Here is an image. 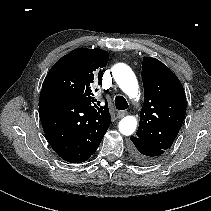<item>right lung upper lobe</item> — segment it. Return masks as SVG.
Listing matches in <instances>:
<instances>
[{
	"label": "right lung upper lobe",
	"instance_id": "1",
	"mask_svg": "<svg viewBox=\"0 0 211 211\" xmlns=\"http://www.w3.org/2000/svg\"><path fill=\"white\" fill-rule=\"evenodd\" d=\"M108 59V52L98 48L75 49L49 70L42 89L68 95L78 101L87 113L110 122L107 104L98 108L92 93L95 83L102 84L101 70L107 65Z\"/></svg>",
	"mask_w": 211,
	"mask_h": 211
}]
</instances>
